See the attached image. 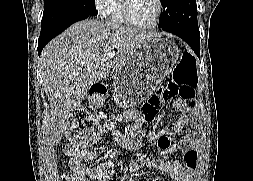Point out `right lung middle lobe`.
<instances>
[{"mask_svg": "<svg viewBox=\"0 0 253 181\" xmlns=\"http://www.w3.org/2000/svg\"><path fill=\"white\" fill-rule=\"evenodd\" d=\"M97 15L94 0H44V12L41 26L63 20L71 15Z\"/></svg>", "mask_w": 253, "mask_h": 181, "instance_id": "right-lung-middle-lobe-1", "label": "right lung middle lobe"}]
</instances>
